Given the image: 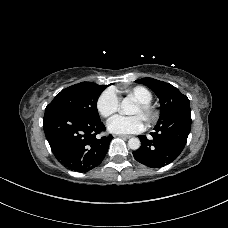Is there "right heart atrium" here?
<instances>
[{
    "label": "right heart atrium",
    "instance_id": "d8ad5b80",
    "mask_svg": "<svg viewBox=\"0 0 228 228\" xmlns=\"http://www.w3.org/2000/svg\"><path fill=\"white\" fill-rule=\"evenodd\" d=\"M118 108L119 97L114 89L108 88L100 93L96 100V109L102 117H110L117 112Z\"/></svg>",
    "mask_w": 228,
    "mask_h": 228
}]
</instances>
